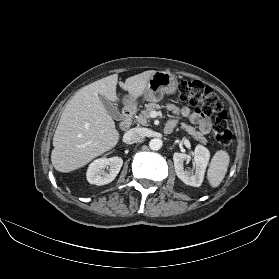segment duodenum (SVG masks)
I'll return each mask as SVG.
<instances>
[{
    "instance_id": "duodenum-1",
    "label": "duodenum",
    "mask_w": 279,
    "mask_h": 279,
    "mask_svg": "<svg viewBox=\"0 0 279 279\" xmlns=\"http://www.w3.org/2000/svg\"><path fill=\"white\" fill-rule=\"evenodd\" d=\"M133 117V111L131 109H125L123 112V119L120 123V126L123 130H126L130 127Z\"/></svg>"
}]
</instances>
